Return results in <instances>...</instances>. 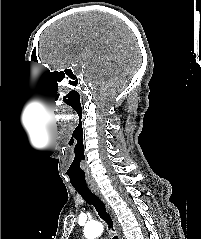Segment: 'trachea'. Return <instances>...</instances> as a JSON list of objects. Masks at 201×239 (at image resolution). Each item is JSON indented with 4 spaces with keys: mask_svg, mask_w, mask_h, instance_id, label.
<instances>
[{
    "mask_svg": "<svg viewBox=\"0 0 201 239\" xmlns=\"http://www.w3.org/2000/svg\"><path fill=\"white\" fill-rule=\"evenodd\" d=\"M74 188L89 205H92L95 208L99 217L104 220L107 223L108 228L114 232L112 219L107 213L103 201L87 186H74ZM112 239H118V236L114 235Z\"/></svg>",
    "mask_w": 201,
    "mask_h": 239,
    "instance_id": "3493384b",
    "label": "trachea"
}]
</instances>
